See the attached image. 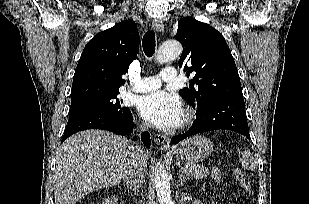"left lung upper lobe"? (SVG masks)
<instances>
[{
    "mask_svg": "<svg viewBox=\"0 0 309 204\" xmlns=\"http://www.w3.org/2000/svg\"><path fill=\"white\" fill-rule=\"evenodd\" d=\"M175 39L183 45L179 66L185 64L187 76L195 73L189 88L179 94L194 109L219 99L243 98L233 56L220 32L193 17H185L178 22Z\"/></svg>",
    "mask_w": 309,
    "mask_h": 204,
    "instance_id": "left-lung-upper-lobe-1",
    "label": "left lung upper lobe"
}]
</instances>
